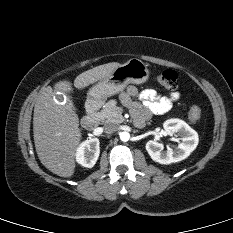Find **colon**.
I'll list each match as a JSON object with an SVG mask.
<instances>
[{
	"instance_id": "5ec220e1",
	"label": "colon",
	"mask_w": 233,
	"mask_h": 233,
	"mask_svg": "<svg viewBox=\"0 0 233 233\" xmlns=\"http://www.w3.org/2000/svg\"><path fill=\"white\" fill-rule=\"evenodd\" d=\"M157 81L160 85L168 90H176L178 87V76L174 70H165L158 75ZM189 120L192 123L199 121L201 117V109L198 105H193L189 111Z\"/></svg>"
}]
</instances>
